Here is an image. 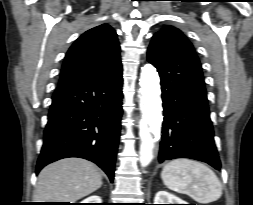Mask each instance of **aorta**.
<instances>
[{
  "label": "aorta",
  "instance_id": "obj_1",
  "mask_svg": "<svg viewBox=\"0 0 253 205\" xmlns=\"http://www.w3.org/2000/svg\"><path fill=\"white\" fill-rule=\"evenodd\" d=\"M140 92L143 118L140 121L139 160L144 168L153 159L154 142L160 135L163 120L160 79L156 68L151 64L141 68Z\"/></svg>",
  "mask_w": 253,
  "mask_h": 205
}]
</instances>
